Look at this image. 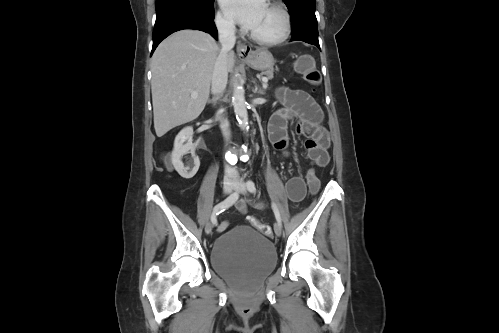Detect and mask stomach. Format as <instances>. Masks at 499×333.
I'll return each mask as SVG.
<instances>
[{"mask_svg":"<svg viewBox=\"0 0 499 333\" xmlns=\"http://www.w3.org/2000/svg\"><path fill=\"white\" fill-rule=\"evenodd\" d=\"M244 61L253 69L259 71L271 70L275 60L273 55L266 49H257L252 51L244 58Z\"/></svg>","mask_w":499,"mask_h":333,"instance_id":"stomach-1","label":"stomach"}]
</instances>
